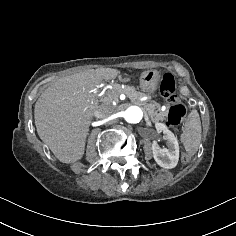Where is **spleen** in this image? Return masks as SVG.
Segmentation results:
<instances>
[{"mask_svg": "<svg viewBox=\"0 0 236 236\" xmlns=\"http://www.w3.org/2000/svg\"><path fill=\"white\" fill-rule=\"evenodd\" d=\"M180 139L188 154L194 155L201 141V122L197 110H192L188 115Z\"/></svg>", "mask_w": 236, "mask_h": 236, "instance_id": "3e777b00", "label": "spleen"}]
</instances>
